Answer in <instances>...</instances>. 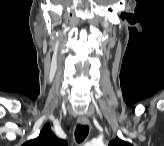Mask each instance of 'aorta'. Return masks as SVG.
Masks as SVG:
<instances>
[{
	"instance_id": "obj_1",
	"label": "aorta",
	"mask_w": 164,
	"mask_h": 146,
	"mask_svg": "<svg viewBox=\"0 0 164 146\" xmlns=\"http://www.w3.org/2000/svg\"><path fill=\"white\" fill-rule=\"evenodd\" d=\"M95 144V143H94ZM96 144H101V143H96ZM94 146H101V145H94Z\"/></svg>"
}]
</instances>
